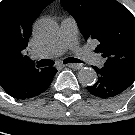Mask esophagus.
Instances as JSON below:
<instances>
[{
	"label": "esophagus",
	"mask_w": 135,
	"mask_h": 135,
	"mask_svg": "<svg viewBox=\"0 0 135 135\" xmlns=\"http://www.w3.org/2000/svg\"><path fill=\"white\" fill-rule=\"evenodd\" d=\"M66 66L73 69H81L83 67V64H66Z\"/></svg>",
	"instance_id": "esophagus-1"
}]
</instances>
